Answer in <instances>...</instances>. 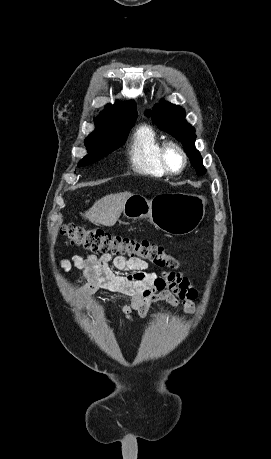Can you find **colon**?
Segmentation results:
<instances>
[{"label": "colon", "mask_w": 271, "mask_h": 459, "mask_svg": "<svg viewBox=\"0 0 271 459\" xmlns=\"http://www.w3.org/2000/svg\"><path fill=\"white\" fill-rule=\"evenodd\" d=\"M61 234L68 243L81 246L92 252L127 255L170 269L179 267V262L161 245L149 241H137L111 235L101 229L86 228L74 224L64 225L61 228Z\"/></svg>", "instance_id": "5ec220e1"}]
</instances>
